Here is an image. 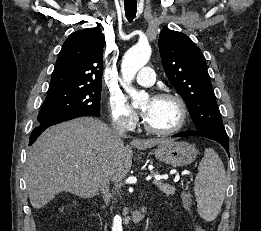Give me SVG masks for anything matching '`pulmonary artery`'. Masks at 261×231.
<instances>
[{
  "label": "pulmonary artery",
  "instance_id": "e3ab8cb5",
  "mask_svg": "<svg viewBox=\"0 0 261 231\" xmlns=\"http://www.w3.org/2000/svg\"><path fill=\"white\" fill-rule=\"evenodd\" d=\"M138 84L142 86H151L155 82V73L151 67H143L136 78Z\"/></svg>",
  "mask_w": 261,
  "mask_h": 231
}]
</instances>
